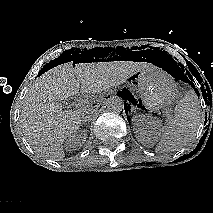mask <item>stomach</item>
I'll return each instance as SVG.
<instances>
[{
  "instance_id": "stomach-1",
  "label": "stomach",
  "mask_w": 213,
  "mask_h": 213,
  "mask_svg": "<svg viewBox=\"0 0 213 213\" xmlns=\"http://www.w3.org/2000/svg\"><path fill=\"white\" fill-rule=\"evenodd\" d=\"M131 79L137 82L144 105L150 111L163 109L177 98L176 84L163 76L159 70H140L134 73Z\"/></svg>"
}]
</instances>
